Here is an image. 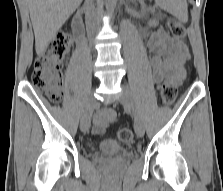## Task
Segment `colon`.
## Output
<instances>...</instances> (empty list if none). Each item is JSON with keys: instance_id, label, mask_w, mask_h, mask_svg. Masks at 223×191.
Instances as JSON below:
<instances>
[{"instance_id": "colon-1", "label": "colon", "mask_w": 223, "mask_h": 191, "mask_svg": "<svg viewBox=\"0 0 223 191\" xmlns=\"http://www.w3.org/2000/svg\"><path fill=\"white\" fill-rule=\"evenodd\" d=\"M170 33L177 39L185 38V27L175 21H168ZM70 37L66 34L57 36L48 46L46 51L34 62L31 82L33 86L44 93L51 101L59 102L62 90V62L70 46ZM177 96V86L173 80H167L161 88V98L165 105H171ZM118 138L123 143H129L133 139L132 131L120 129Z\"/></svg>"}]
</instances>
